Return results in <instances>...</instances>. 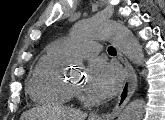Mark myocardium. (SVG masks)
Wrapping results in <instances>:
<instances>
[{
	"label": "myocardium",
	"mask_w": 165,
	"mask_h": 120,
	"mask_svg": "<svg viewBox=\"0 0 165 120\" xmlns=\"http://www.w3.org/2000/svg\"><path fill=\"white\" fill-rule=\"evenodd\" d=\"M70 91L74 95H82L84 93V90L82 87L74 86L71 83H68Z\"/></svg>",
	"instance_id": "f54148a6"
}]
</instances>
